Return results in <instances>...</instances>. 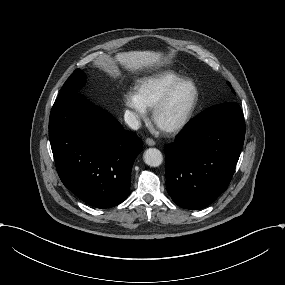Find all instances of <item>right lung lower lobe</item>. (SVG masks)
Listing matches in <instances>:
<instances>
[{"label":"right lung lower lobe","instance_id":"obj_1","mask_svg":"<svg viewBox=\"0 0 285 285\" xmlns=\"http://www.w3.org/2000/svg\"><path fill=\"white\" fill-rule=\"evenodd\" d=\"M49 138L64 186L96 208L128 196L131 169L142 141L79 92L58 96L49 118Z\"/></svg>","mask_w":285,"mask_h":285}]
</instances>
